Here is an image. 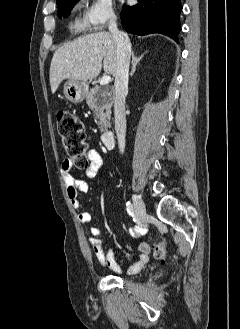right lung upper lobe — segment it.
Segmentation results:
<instances>
[{"instance_id":"obj_1","label":"right lung upper lobe","mask_w":240,"mask_h":329,"mask_svg":"<svg viewBox=\"0 0 240 329\" xmlns=\"http://www.w3.org/2000/svg\"><path fill=\"white\" fill-rule=\"evenodd\" d=\"M62 1H64V0H57V4L60 3V2H62Z\"/></svg>"}]
</instances>
